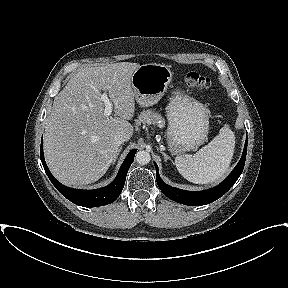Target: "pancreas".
Segmentation results:
<instances>
[{"label": "pancreas", "instance_id": "obj_1", "mask_svg": "<svg viewBox=\"0 0 288 288\" xmlns=\"http://www.w3.org/2000/svg\"><path fill=\"white\" fill-rule=\"evenodd\" d=\"M136 125H141L142 124H153V125H158L159 127H163L165 124L164 118L152 111V110H146L141 112V114L138 116V119L135 121Z\"/></svg>", "mask_w": 288, "mask_h": 288}]
</instances>
